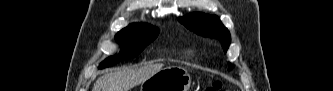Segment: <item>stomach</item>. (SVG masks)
Wrapping results in <instances>:
<instances>
[{
    "label": "stomach",
    "instance_id": "0dacf381",
    "mask_svg": "<svg viewBox=\"0 0 333 91\" xmlns=\"http://www.w3.org/2000/svg\"><path fill=\"white\" fill-rule=\"evenodd\" d=\"M191 78L180 66H168L141 83L140 91H189Z\"/></svg>",
    "mask_w": 333,
    "mask_h": 91
}]
</instances>
